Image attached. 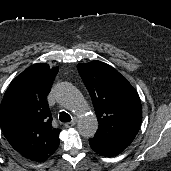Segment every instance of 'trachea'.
<instances>
[{"mask_svg":"<svg viewBox=\"0 0 171 171\" xmlns=\"http://www.w3.org/2000/svg\"><path fill=\"white\" fill-rule=\"evenodd\" d=\"M59 119L61 122L66 123L71 121V116L66 112H60Z\"/></svg>","mask_w":171,"mask_h":171,"instance_id":"3493384b","label":"trachea"}]
</instances>
